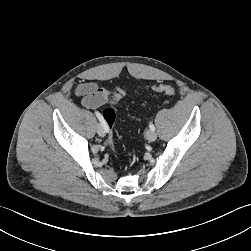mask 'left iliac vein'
Instances as JSON below:
<instances>
[{"label":"left iliac vein","instance_id":"obj_1","mask_svg":"<svg viewBox=\"0 0 251 251\" xmlns=\"http://www.w3.org/2000/svg\"><path fill=\"white\" fill-rule=\"evenodd\" d=\"M146 138H147L148 141L153 142V141L156 140L157 134L155 133V131L148 130L146 132Z\"/></svg>","mask_w":251,"mask_h":251}]
</instances>
